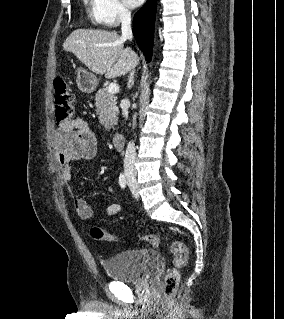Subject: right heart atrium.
<instances>
[{"label": "right heart atrium", "mask_w": 284, "mask_h": 319, "mask_svg": "<svg viewBox=\"0 0 284 319\" xmlns=\"http://www.w3.org/2000/svg\"><path fill=\"white\" fill-rule=\"evenodd\" d=\"M101 19L104 25L117 26L130 16L129 10L121 0H98Z\"/></svg>", "instance_id": "1"}]
</instances>
